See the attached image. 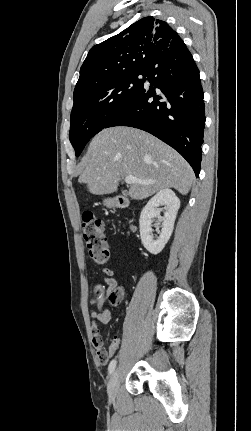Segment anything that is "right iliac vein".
<instances>
[{
    "mask_svg": "<svg viewBox=\"0 0 251 431\" xmlns=\"http://www.w3.org/2000/svg\"><path fill=\"white\" fill-rule=\"evenodd\" d=\"M119 381H120V371L117 369L112 374L108 383V395L111 400H114L117 395Z\"/></svg>",
    "mask_w": 251,
    "mask_h": 431,
    "instance_id": "obj_1",
    "label": "right iliac vein"
}]
</instances>
